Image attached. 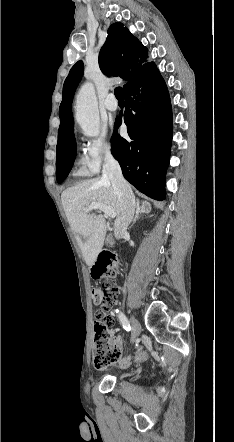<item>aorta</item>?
<instances>
[{
	"mask_svg": "<svg viewBox=\"0 0 234 442\" xmlns=\"http://www.w3.org/2000/svg\"><path fill=\"white\" fill-rule=\"evenodd\" d=\"M76 120L85 135L95 137L99 134L97 98L91 83H85L77 95Z\"/></svg>",
	"mask_w": 234,
	"mask_h": 442,
	"instance_id": "1",
	"label": "aorta"
}]
</instances>
